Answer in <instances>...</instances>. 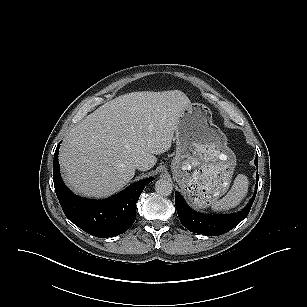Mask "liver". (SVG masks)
I'll use <instances>...</instances> for the list:
<instances>
[{
  "mask_svg": "<svg viewBox=\"0 0 307 307\" xmlns=\"http://www.w3.org/2000/svg\"><path fill=\"white\" fill-rule=\"evenodd\" d=\"M190 103L178 90L132 92L106 102L72 127L61 146L66 184L94 198L119 191L134 177L135 161L147 171L155 155L170 149L180 112Z\"/></svg>",
  "mask_w": 307,
  "mask_h": 307,
  "instance_id": "obj_1",
  "label": "liver"
}]
</instances>
